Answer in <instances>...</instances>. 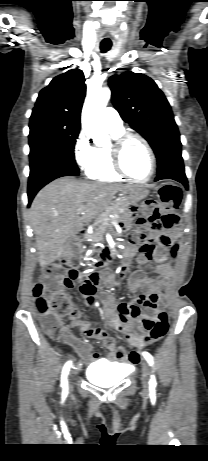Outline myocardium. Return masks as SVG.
Listing matches in <instances>:
<instances>
[{"label":"myocardium","mask_w":208,"mask_h":461,"mask_svg":"<svg viewBox=\"0 0 208 461\" xmlns=\"http://www.w3.org/2000/svg\"><path fill=\"white\" fill-rule=\"evenodd\" d=\"M136 139L140 141L148 151L149 157H150V172L148 176L144 179H137L133 176H131L125 169L124 164H123V153L124 149L127 145V143L132 140ZM110 152H111V158H112V164L114 169L118 174H120L122 177L127 178L133 182L136 183H146L152 179V177L155 174L156 171V157L154 150L150 143L147 141L146 138H144L142 135L138 133H133V132H124L118 137H116L113 142L110 144Z\"/></svg>","instance_id":"myocardium-1"}]
</instances>
